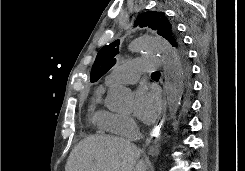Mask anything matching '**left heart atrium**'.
<instances>
[{
    "mask_svg": "<svg viewBox=\"0 0 245 171\" xmlns=\"http://www.w3.org/2000/svg\"><path fill=\"white\" fill-rule=\"evenodd\" d=\"M161 110L159 93L154 89L139 88L135 93L134 114L142 122H154Z\"/></svg>",
    "mask_w": 245,
    "mask_h": 171,
    "instance_id": "obj_1",
    "label": "left heart atrium"
}]
</instances>
